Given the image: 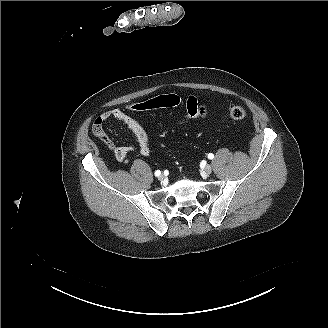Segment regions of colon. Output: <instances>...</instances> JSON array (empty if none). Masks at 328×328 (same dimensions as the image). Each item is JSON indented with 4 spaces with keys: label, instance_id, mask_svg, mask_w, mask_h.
I'll return each mask as SVG.
<instances>
[{
    "label": "colon",
    "instance_id": "1",
    "mask_svg": "<svg viewBox=\"0 0 328 328\" xmlns=\"http://www.w3.org/2000/svg\"><path fill=\"white\" fill-rule=\"evenodd\" d=\"M179 104L180 98L177 95L165 94L142 102L134 103L129 107V109L133 112H145L165 107H175ZM229 116L233 120H243L246 117V111L240 106H232L229 109ZM92 130L94 135L98 137L102 142L107 145L110 144V141L103 130L102 121L99 118L94 121Z\"/></svg>",
    "mask_w": 328,
    "mask_h": 328
}]
</instances>
